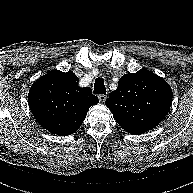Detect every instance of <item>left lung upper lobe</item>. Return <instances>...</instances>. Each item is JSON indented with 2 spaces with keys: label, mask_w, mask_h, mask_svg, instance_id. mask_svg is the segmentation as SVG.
<instances>
[{
  "label": "left lung upper lobe",
  "mask_w": 193,
  "mask_h": 193,
  "mask_svg": "<svg viewBox=\"0 0 193 193\" xmlns=\"http://www.w3.org/2000/svg\"><path fill=\"white\" fill-rule=\"evenodd\" d=\"M105 104L124 130L138 135L165 118L172 104V89L164 79L141 69L121 77Z\"/></svg>",
  "instance_id": "5c2ea615"
}]
</instances>
